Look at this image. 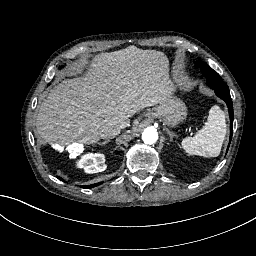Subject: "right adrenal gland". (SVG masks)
I'll use <instances>...</instances> for the list:
<instances>
[{
	"mask_svg": "<svg viewBox=\"0 0 256 256\" xmlns=\"http://www.w3.org/2000/svg\"><path fill=\"white\" fill-rule=\"evenodd\" d=\"M108 142V139L107 140H104V141H102V142H100V143H98L97 145H104V144H106Z\"/></svg>",
	"mask_w": 256,
	"mask_h": 256,
	"instance_id": "obj_1",
	"label": "right adrenal gland"
}]
</instances>
